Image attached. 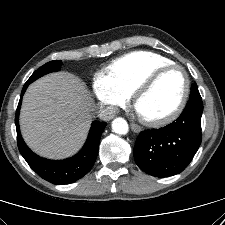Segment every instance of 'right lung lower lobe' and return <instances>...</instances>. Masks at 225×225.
Here are the masks:
<instances>
[{
	"mask_svg": "<svg viewBox=\"0 0 225 225\" xmlns=\"http://www.w3.org/2000/svg\"><path fill=\"white\" fill-rule=\"evenodd\" d=\"M29 84L30 82L27 81L22 89L15 116L19 151L29 166L43 179L57 185L72 183L82 178L91 170L98 154L101 134L107 123L98 121H94L92 123L85 145L75 156L60 161H53L39 157L24 143L19 129V111L22 96Z\"/></svg>",
	"mask_w": 225,
	"mask_h": 225,
	"instance_id": "obj_1",
	"label": "right lung lower lobe"
}]
</instances>
